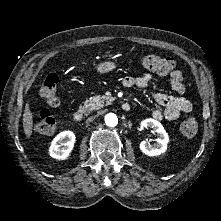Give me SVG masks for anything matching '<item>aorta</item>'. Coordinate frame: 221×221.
<instances>
[{
	"label": "aorta",
	"instance_id": "1",
	"mask_svg": "<svg viewBox=\"0 0 221 221\" xmlns=\"http://www.w3.org/2000/svg\"><path fill=\"white\" fill-rule=\"evenodd\" d=\"M105 124L109 127H115L118 123L117 115L114 113H108L105 115Z\"/></svg>",
	"mask_w": 221,
	"mask_h": 221
}]
</instances>
